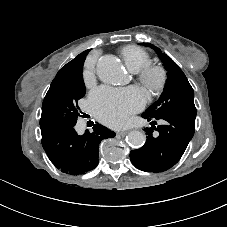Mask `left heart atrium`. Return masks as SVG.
Segmentation results:
<instances>
[{
	"label": "left heart atrium",
	"mask_w": 227,
	"mask_h": 227,
	"mask_svg": "<svg viewBox=\"0 0 227 227\" xmlns=\"http://www.w3.org/2000/svg\"><path fill=\"white\" fill-rule=\"evenodd\" d=\"M145 98L133 91L100 87L89 98V106L95 116L104 124L120 127L129 117L143 108Z\"/></svg>",
	"instance_id": "left-heart-atrium-1"
}]
</instances>
